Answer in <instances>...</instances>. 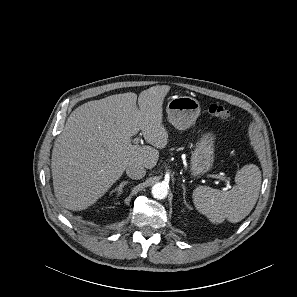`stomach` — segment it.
Instances as JSON below:
<instances>
[{
    "instance_id": "stomach-1",
    "label": "stomach",
    "mask_w": 297,
    "mask_h": 297,
    "mask_svg": "<svg viewBox=\"0 0 297 297\" xmlns=\"http://www.w3.org/2000/svg\"><path fill=\"white\" fill-rule=\"evenodd\" d=\"M168 121L177 129L191 127L200 114V103L189 96H175L167 104ZM214 135L204 133L191 156V172L199 176L209 171L214 160Z\"/></svg>"
}]
</instances>
